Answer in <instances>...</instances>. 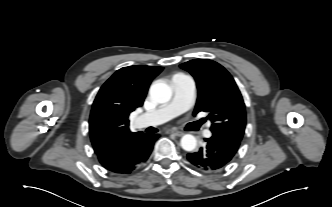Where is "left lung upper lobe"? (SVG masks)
Listing matches in <instances>:
<instances>
[{
    "label": "left lung upper lobe",
    "mask_w": 332,
    "mask_h": 207,
    "mask_svg": "<svg viewBox=\"0 0 332 207\" xmlns=\"http://www.w3.org/2000/svg\"><path fill=\"white\" fill-rule=\"evenodd\" d=\"M180 67L195 78L198 98L193 115L209 113L211 131L241 141L246 113L242 95L229 72L208 59H194Z\"/></svg>",
    "instance_id": "left-lung-upper-lobe-1"
}]
</instances>
